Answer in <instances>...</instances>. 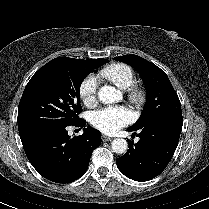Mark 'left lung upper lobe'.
Here are the masks:
<instances>
[{"label":"left lung upper lobe","instance_id":"obj_1","mask_svg":"<svg viewBox=\"0 0 209 209\" xmlns=\"http://www.w3.org/2000/svg\"><path fill=\"white\" fill-rule=\"evenodd\" d=\"M135 68L146 86V104L138 121L130 128H141L160 121H182L181 103L170 80L155 64L137 56L113 58Z\"/></svg>","mask_w":209,"mask_h":209}]
</instances>
